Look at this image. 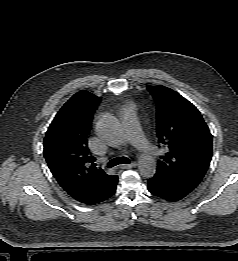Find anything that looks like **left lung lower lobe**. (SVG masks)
I'll list each match as a JSON object with an SVG mask.
<instances>
[{
	"label": "left lung lower lobe",
	"mask_w": 238,
	"mask_h": 261,
	"mask_svg": "<svg viewBox=\"0 0 238 261\" xmlns=\"http://www.w3.org/2000/svg\"><path fill=\"white\" fill-rule=\"evenodd\" d=\"M147 187L151 194L167 201H179L190 193L157 174L148 180Z\"/></svg>",
	"instance_id": "1"
}]
</instances>
